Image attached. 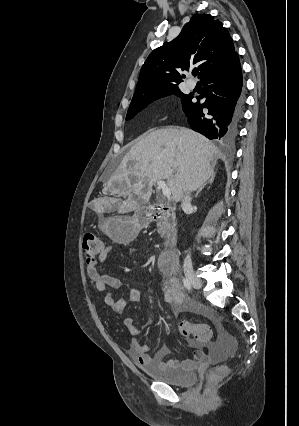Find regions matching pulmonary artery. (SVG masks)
<instances>
[{
	"mask_svg": "<svg viewBox=\"0 0 299 426\" xmlns=\"http://www.w3.org/2000/svg\"><path fill=\"white\" fill-rule=\"evenodd\" d=\"M188 86L190 88H195L196 82L194 80L190 79V80H188Z\"/></svg>",
	"mask_w": 299,
	"mask_h": 426,
	"instance_id": "pulmonary-artery-1",
	"label": "pulmonary artery"
}]
</instances>
